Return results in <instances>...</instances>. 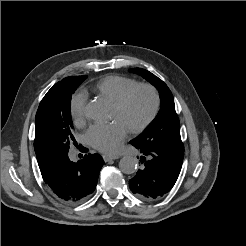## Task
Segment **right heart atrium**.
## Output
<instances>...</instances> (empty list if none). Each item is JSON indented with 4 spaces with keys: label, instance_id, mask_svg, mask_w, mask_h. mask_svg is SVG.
<instances>
[{
    "label": "right heart atrium",
    "instance_id": "right-heart-atrium-1",
    "mask_svg": "<svg viewBox=\"0 0 246 246\" xmlns=\"http://www.w3.org/2000/svg\"><path fill=\"white\" fill-rule=\"evenodd\" d=\"M87 96L84 91L76 92L70 100V113L76 124H81L85 119Z\"/></svg>",
    "mask_w": 246,
    "mask_h": 246
}]
</instances>
